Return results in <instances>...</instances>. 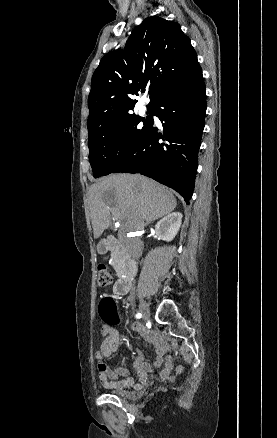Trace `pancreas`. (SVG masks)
<instances>
[{
  "label": "pancreas",
  "instance_id": "pancreas-1",
  "mask_svg": "<svg viewBox=\"0 0 277 438\" xmlns=\"http://www.w3.org/2000/svg\"><path fill=\"white\" fill-rule=\"evenodd\" d=\"M97 244H107L110 247V250L107 252L109 253L113 248L110 246V240L109 239H99ZM111 257L113 259L112 264L116 267H123L125 264V261L122 257V254L120 251H113L111 254Z\"/></svg>",
  "mask_w": 277,
  "mask_h": 438
}]
</instances>
